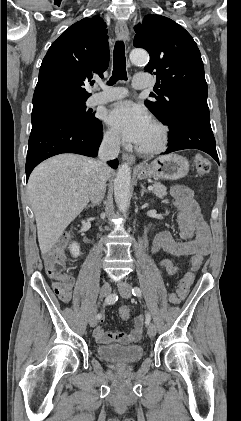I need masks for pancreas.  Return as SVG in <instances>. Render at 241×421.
<instances>
[{"label": "pancreas", "instance_id": "obj_1", "mask_svg": "<svg viewBox=\"0 0 241 421\" xmlns=\"http://www.w3.org/2000/svg\"><path fill=\"white\" fill-rule=\"evenodd\" d=\"M152 192L158 197V198H164L167 195V188L163 186L159 182H155L153 184V190Z\"/></svg>", "mask_w": 241, "mask_h": 421}]
</instances>
